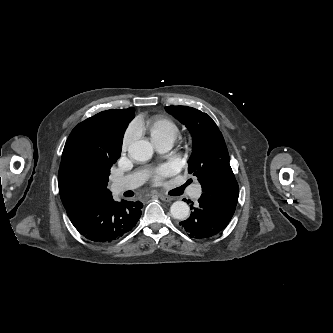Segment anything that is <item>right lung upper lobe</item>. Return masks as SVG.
Wrapping results in <instances>:
<instances>
[{
  "label": "right lung upper lobe",
  "instance_id": "obj_1",
  "mask_svg": "<svg viewBox=\"0 0 333 333\" xmlns=\"http://www.w3.org/2000/svg\"><path fill=\"white\" fill-rule=\"evenodd\" d=\"M135 110L133 107L127 111ZM83 122L79 123L68 137L58 174L60 198L66 210L83 207L85 205L111 197L107 185L77 174L69 165L71 143L78 135H82Z\"/></svg>",
  "mask_w": 333,
  "mask_h": 333
}]
</instances>
